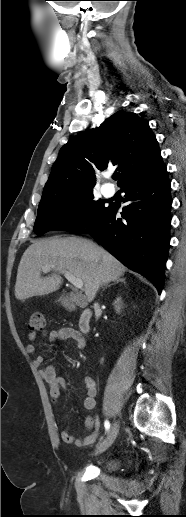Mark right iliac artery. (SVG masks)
Segmentation results:
<instances>
[{"instance_id":"82829eb1","label":"right iliac artery","mask_w":186,"mask_h":517,"mask_svg":"<svg viewBox=\"0 0 186 517\" xmlns=\"http://www.w3.org/2000/svg\"><path fill=\"white\" fill-rule=\"evenodd\" d=\"M104 426H105L106 431H108L110 428V423L108 420L105 421Z\"/></svg>"}]
</instances>
